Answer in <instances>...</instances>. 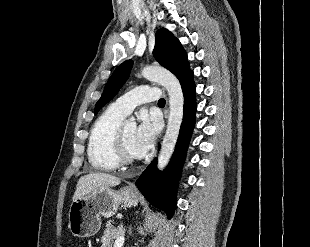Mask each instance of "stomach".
Listing matches in <instances>:
<instances>
[{"label":"stomach","instance_id":"stomach-1","mask_svg":"<svg viewBox=\"0 0 310 247\" xmlns=\"http://www.w3.org/2000/svg\"><path fill=\"white\" fill-rule=\"evenodd\" d=\"M138 201V195L129 187L117 191L110 187L98 188L72 201L68 212V228L76 237H91L100 230L101 217L110 218L119 206H136Z\"/></svg>","mask_w":310,"mask_h":247}]
</instances>
